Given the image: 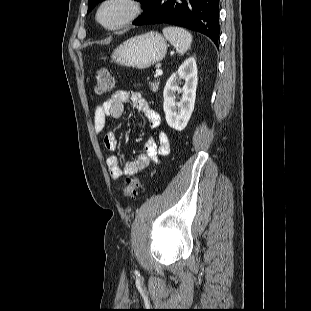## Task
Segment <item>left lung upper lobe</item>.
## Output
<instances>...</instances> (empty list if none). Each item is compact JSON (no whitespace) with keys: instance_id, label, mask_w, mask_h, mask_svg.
Masks as SVG:
<instances>
[{"instance_id":"5c2ea615","label":"left lung upper lobe","mask_w":311,"mask_h":311,"mask_svg":"<svg viewBox=\"0 0 311 311\" xmlns=\"http://www.w3.org/2000/svg\"><path fill=\"white\" fill-rule=\"evenodd\" d=\"M101 1L103 0H88V12L91 11L92 8ZM137 1L145 4L147 0H137Z\"/></svg>"}]
</instances>
